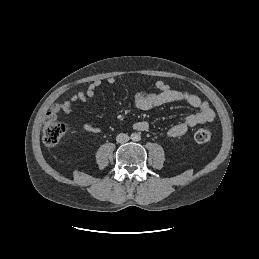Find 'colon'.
I'll use <instances>...</instances> for the list:
<instances>
[{
  "label": "colon",
  "mask_w": 259,
  "mask_h": 259,
  "mask_svg": "<svg viewBox=\"0 0 259 259\" xmlns=\"http://www.w3.org/2000/svg\"><path fill=\"white\" fill-rule=\"evenodd\" d=\"M61 107L54 105L47 113L43 124V142L47 146H55L67 134L69 125L59 119ZM211 138L210 130L206 128L198 129L194 134V139L198 143L208 142Z\"/></svg>",
  "instance_id": "obj_1"
}]
</instances>
